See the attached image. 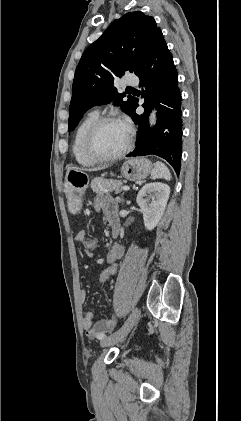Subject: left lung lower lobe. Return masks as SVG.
Here are the masks:
<instances>
[{
    "instance_id": "1",
    "label": "left lung lower lobe",
    "mask_w": 241,
    "mask_h": 421,
    "mask_svg": "<svg viewBox=\"0 0 241 421\" xmlns=\"http://www.w3.org/2000/svg\"><path fill=\"white\" fill-rule=\"evenodd\" d=\"M136 75L145 89L142 115L135 113L138 100H135L132 119L138 125L137 146L127 156H145L154 154L166 159L180 172L182 154V111L181 93L178 88L177 70L172 55L160 31ZM152 99V101H151ZM157 109V123L149 128L150 107Z\"/></svg>"
}]
</instances>
